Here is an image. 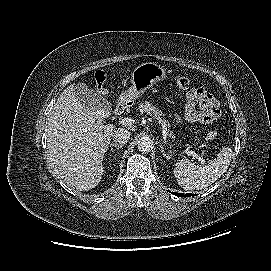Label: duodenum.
Instances as JSON below:
<instances>
[{"label": "duodenum", "instance_id": "410a0bca", "mask_svg": "<svg viewBox=\"0 0 271 271\" xmlns=\"http://www.w3.org/2000/svg\"><path fill=\"white\" fill-rule=\"evenodd\" d=\"M127 108V104L125 103H118L117 106L115 107V110H114V115L118 116L120 114H122Z\"/></svg>", "mask_w": 271, "mask_h": 271}]
</instances>
